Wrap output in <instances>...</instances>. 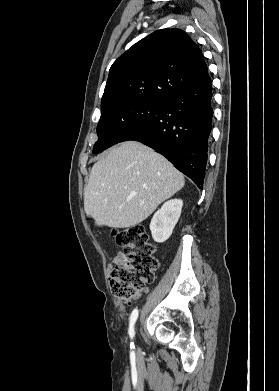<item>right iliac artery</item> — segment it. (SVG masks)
Wrapping results in <instances>:
<instances>
[{"label":"right iliac artery","mask_w":279,"mask_h":391,"mask_svg":"<svg viewBox=\"0 0 279 391\" xmlns=\"http://www.w3.org/2000/svg\"><path fill=\"white\" fill-rule=\"evenodd\" d=\"M138 318V310L137 309H134L131 313V316H130V324H129V335L131 338H133L135 332H134V325H135V322ZM133 343H131V347H133Z\"/></svg>","instance_id":"1"}]
</instances>
